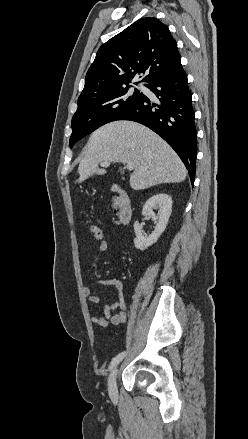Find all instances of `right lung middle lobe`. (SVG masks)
<instances>
[{
  "label": "right lung middle lobe",
  "mask_w": 248,
  "mask_h": 439,
  "mask_svg": "<svg viewBox=\"0 0 248 439\" xmlns=\"http://www.w3.org/2000/svg\"><path fill=\"white\" fill-rule=\"evenodd\" d=\"M130 87V86H129ZM120 88L78 106L72 118L70 147L100 126L118 120L143 97L137 89Z\"/></svg>",
  "instance_id": "1"
}]
</instances>
